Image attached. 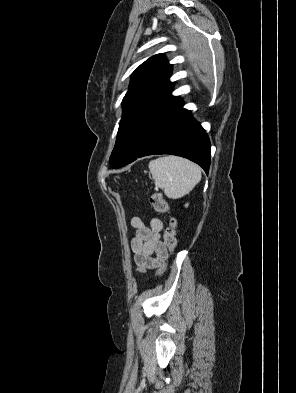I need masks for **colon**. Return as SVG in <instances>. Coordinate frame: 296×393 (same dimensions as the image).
<instances>
[{
	"label": "colon",
	"mask_w": 296,
	"mask_h": 393,
	"mask_svg": "<svg viewBox=\"0 0 296 393\" xmlns=\"http://www.w3.org/2000/svg\"><path fill=\"white\" fill-rule=\"evenodd\" d=\"M150 202L156 212L161 213V214L168 213L169 205L159 192H156L151 196ZM163 238H164V244H165L167 250L170 253H173L176 248V221H175V219L172 218L169 220L168 226L166 227V229L164 231ZM165 270H166V265L164 263H162L160 265L159 270H158V276H161L165 272Z\"/></svg>",
	"instance_id": "5ec220e1"
}]
</instances>
